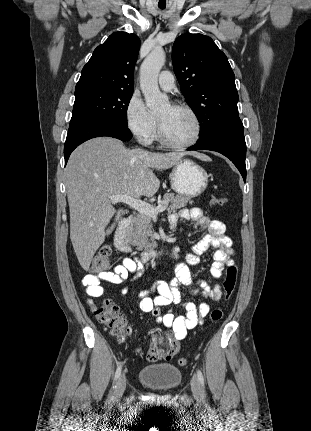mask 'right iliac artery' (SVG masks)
Instances as JSON below:
<instances>
[{
    "label": "right iliac artery",
    "instance_id": "1",
    "mask_svg": "<svg viewBox=\"0 0 311 431\" xmlns=\"http://www.w3.org/2000/svg\"><path fill=\"white\" fill-rule=\"evenodd\" d=\"M121 370H122V364H120L116 370L115 373V378H114V384H113V389L116 387V382L121 374ZM110 397H112V394H110Z\"/></svg>",
    "mask_w": 311,
    "mask_h": 431
}]
</instances>
